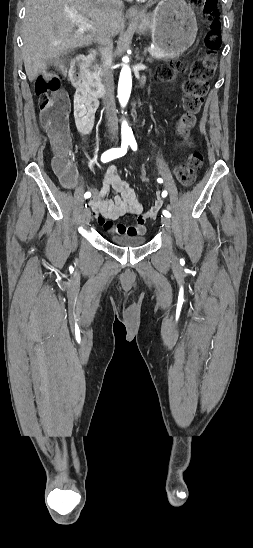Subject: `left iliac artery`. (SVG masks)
Segmentation results:
<instances>
[{"mask_svg":"<svg viewBox=\"0 0 253 548\" xmlns=\"http://www.w3.org/2000/svg\"><path fill=\"white\" fill-rule=\"evenodd\" d=\"M129 144H130V147L132 148V150H134V151L137 150V143H136L135 139H130V140H129ZM157 181H158L159 183H163V179H161V178H158ZM162 196H163V197H166V196H167V191H164V192L162 193ZM162 213H163V215H164L165 217H168V218L171 217L170 212L167 211V210H163Z\"/></svg>","mask_w":253,"mask_h":548,"instance_id":"obj_1","label":"left iliac artery"}]
</instances>
